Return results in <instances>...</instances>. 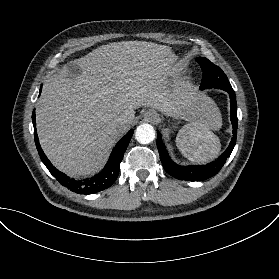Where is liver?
I'll use <instances>...</instances> for the list:
<instances>
[{"instance_id":"obj_1","label":"liver","mask_w":279,"mask_h":279,"mask_svg":"<svg viewBox=\"0 0 279 279\" xmlns=\"http://www.w3.org/2000/svg\"><path fill=\"white\" fill-rule=\"evenodd\" d=\"M175 61L165 45L113 42L74 60L81 69L75 80L55 75L36 107L39 142L52 164L74 178L98 172L141 106L191 123L201 119L202 95L179 79Z\"/></svg>"}]
</instances>
